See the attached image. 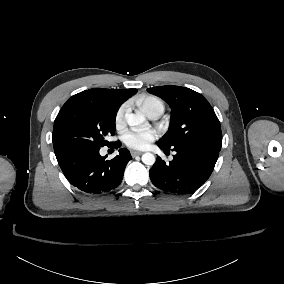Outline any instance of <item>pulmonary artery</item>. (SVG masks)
<instances>
[{"mask_svg": "<svg viewBox=\"0 0 284 284\" xmlns=\"http://www.w3.org/2000/svg\"><path fill=\"white\" fill-rule=\"evenodd\" d=\"M162 113H163V111H162L161 109L156 108V109H151V110H149V111L147 112V115H148L151 119L155 120V119L159 118V116H160Z\"/></svg>", "mask_w": 284, "mask_h": 284, "instance_id": "pulmonary-artery-1", "label": "pulmonary artery"}]
</instances>
